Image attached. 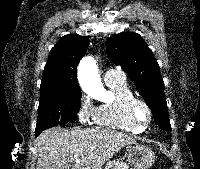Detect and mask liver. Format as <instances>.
<instances>
[{
	"mask_svg": "<svg viewBox=\"0 0 200 169\" xmlns=\"http://www.w3.org/2000/svg\"><path fill=\"white\" fill-rule=\"evenodd\" d=\"M135 139L110 128L53 127L36 140V169H101L123 147Z\"/></svg>",
	"mask_w": 200,
	"mask_h": 169,
	"instance_id": "obj_1",
	"label": "liver"
}]
</instances>
